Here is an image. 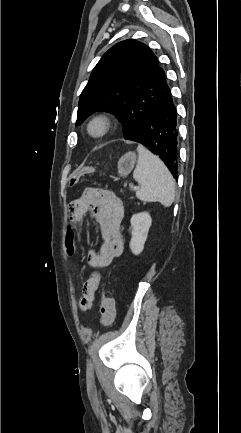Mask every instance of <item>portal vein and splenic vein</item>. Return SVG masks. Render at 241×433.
<instances>
[{"mask_svg": "<svg viewBox=\"0 0 241 433\" xmlns=\"http://www.w3.org/2000/svg\"><path fill=\"white\" fill-rule=\"evenodd\" d=\"M132 189L137 190L139 187L138 186H131Z\"/></svg>", "mask_w": 241, "mask_h": 433, "instance_id": "portal-vein-and-splenic-vein-1", "label": "portal vein and splenic vein"}]
</instances>
